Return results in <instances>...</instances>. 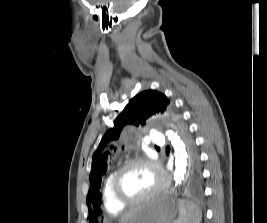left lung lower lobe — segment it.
Wrapping results in <instances>:
<instances>
[{
  "label": "left lung lower lobe",
  "instance_id": "left-lung-lower-lobe-1",
  "mask_svg": "<svg viewBox=\"0 0 267 223\" xmlns=\"http://www.w3.org/2000/svg\"><path fill=\"white\" fill-rule=\"evenodd\" d=\"M186 176H190L191 180L198 182L203 176V171H186Z\"/></svg>",
  "mask_w": 267,
  "mask_h": 223
}]
</instances>
